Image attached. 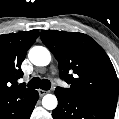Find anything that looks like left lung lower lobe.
I'll return each instance as SVG.
<instances>
[{
    "label": "left lung lower lobe",
    "mask_w": 119,
    "mask_h": 119,
    "mask_svg": "<svg viewBox=\"0 0 119 119\" xmlns=\"http://www.w3.org/2000/svg\"><path fill=\"white\" fill-rule=\"evenodd\" d=\"M58 106L53 110L54 119H113L116 107L86 102L80 98L55 91Z\"/></svg>",
    "instance_id": "0a47b994"
}]
</instances>
